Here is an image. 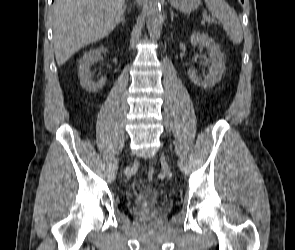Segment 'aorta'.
I'll use <instances>...</instances> for the list:
<instances>
[{
  "label": "aorta",
  "mask_w": 295,
  "mask_h": 250,
  "mask_svg": "<svg viewBox=\"0 0 295 250\" xmlns=\"http://www.w3.org/2000/svg\"><path fill=\"white\" fill-rule=\"evenodd\" d=\"M162 14L158 0H149L146 15V24L150 38L159 39L162 31Z\"/></svg>",
  "instance_id": "obj_1"
}]
</instances>
